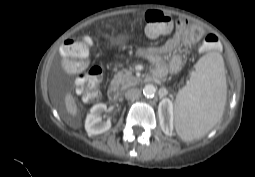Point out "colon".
Wrapping results in <instances>:
<instances>
[{
    "label": "colon",
    "mask_w": 255,
    "mask_h": 177,
    "mask_svg": "<svg viewBox=\"0 0 255 177\" xmlns=\"http://www.w3.org/2000/svg\"><path fill=\"white\" fill-rule=\"evenodd\" d=\"M145 31L149 37H157L168 32L172 26V19L159 10H148L144 15ZM92 37L89 34H81L66 40L61 46L62 65L70 74H76V88L87 102L98 99L101 69L92 67L88 69V56L92 45ZM217 45V37L208 34L203 47L206 50Z\"/></svg>",
    "instance_id": "colon-1"
}]
</instances>
